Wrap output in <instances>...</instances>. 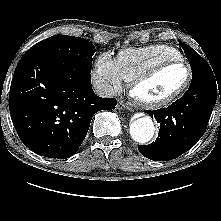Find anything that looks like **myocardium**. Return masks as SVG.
<instances>
[{"label":"myocardium","instance_id":"f54148a6","mask_svg":"<svg viewBox=\"0 0 221 221\" xmlns=\"http://www.w3.org/2000/svg\"><path fill=\"white\" fill-rule=\"evenodd\" d=\"M175 65L185 66L188 72L187 78L184 84L177 91H175L171 95L160 100H147V99H144L139 94H137V90L141 85L152 80L153 78H155L158 74H160L162 71L166 70L167 68L175 66ZM192 81H193V69L187 61L183 59L167 60V61L161 62L153 66L151 69L142 73L141 75L136 77L133 81H131L129 92H130V96L139 106L146 108V109H151V110L162 109L171 105L172 103L177 101L180 97H182L184 93L189 89Z\"/></svg>","mask_w":221,"mask_h":221}]
</instances>
